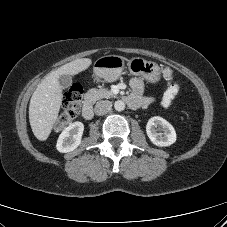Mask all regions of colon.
Wrapping results in <instances>:
<instances>
[{"mask_svg":"<svg viewBox=\"0 0 227 227\" xmlns=\"http://www.w3.org/2000/svg\"><path fill=\"white\" fill-rule=\"evenodd\" d=\"M83 102V88L80 84H73L63 98V112L56 122V130L63 129L78 114Z\"/></svg>","mask_w":227,"mask_h":227,"instance_id":"obj_1","label":"colon"}]
</instances>
